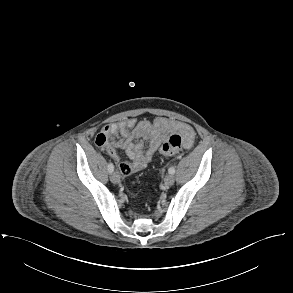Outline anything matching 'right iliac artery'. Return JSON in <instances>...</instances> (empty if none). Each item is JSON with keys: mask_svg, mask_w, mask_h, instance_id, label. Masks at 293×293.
<instances>
[{"mask_svg": "<svg viewBox=\"0 0 293 293\" xmlns=\"http://www.w3.org/2000/svg\"><path fill=\"white\" fill-rule=\"evenodd\" d=\"M108 171H109L110 173H112V172L114 171V166H113L112 163H109V164H108Z\"/></svg>", "mask_w": 293, "mask_h": 293, "instance_id": "1", "label": "right iliac artery"}]
</instances>
